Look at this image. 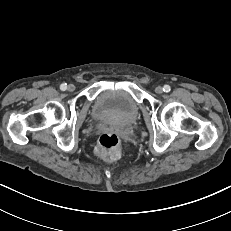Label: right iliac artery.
<instances>
[{
	"label": "right iliac artery",
	"instance_id": "1",
	"mask_svg": "<svg viewBox=\"0 0 231 231\" xmlns=\"http://www.w3.org/2000/svg\"><path fill=\"white\" fill-rule=\"evenodd\" d=\"M60 89L62 91H65L67 89V84L66 83L61 84Z\"/></svg>",
	"mask_w": 231,
	"mask_h": 231
}]
</instances>
